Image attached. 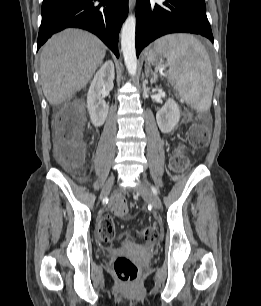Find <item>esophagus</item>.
Masks as SVG:
<instances>
[{
    "instance_id": "34e87169",
    "label": "esophagus",
    "mask_w": 261,
    "mask_h": 306,
    "mask_svg": "<svg viewBox=\"0 0 261 306\" xmlns=\"http://www.w3.org/2000/svg\"><path fill=\"white\" fill-rule=\"evenodd\" d=\"M136 0H129V9L132 10L135 6Z\"/></svg>"
}]
</instances>
